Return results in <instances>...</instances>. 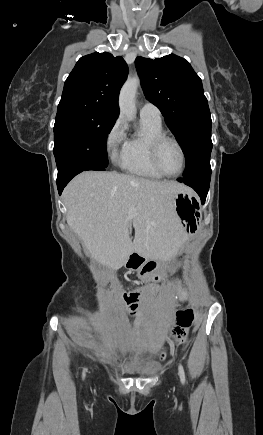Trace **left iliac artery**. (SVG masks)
Wrapping results in <instances>:
<instances>
[{
    "instance_id": "obj_1",
    "label": "left iliac artery",
    "mask_w": 263,
    "mask_h": 435,
    "mask_svg": "<svg viewBox=\"0 0 263 435\" xmlns=\"http://www.w3.org/2000/svg\"><path fill=\"white\" fill-rule=\"evenodd\" d=\"M179 376L181 379V382L184 383L185 382V373H184V369L182 367V365H179Z\"/></svg>"
}]
</instances>
